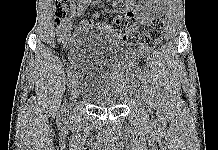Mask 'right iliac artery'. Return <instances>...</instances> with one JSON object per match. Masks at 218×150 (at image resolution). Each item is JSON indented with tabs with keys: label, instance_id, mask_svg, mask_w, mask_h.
I'll return each instance as SVG.
<instances>
[{
	"label": "right iliac artery",
	"instance_id": "right-iliac-artery-1",
	"mask_svg": "<svg viewBox=\"0 0 218 150\" xmlns=\"http://www.w3.org/2000/svg\"><path fill=\"white\" fill-rule=\"evenodd\" d=\"M67 76H68L69 85H71L72 78H73V67L72 66H69L68 71H67ZM64 112H65V108L61 110L62 116Z\"/></svg>",
	"mask_w": 218,
	"mask_h": 150
}]
</instances>
